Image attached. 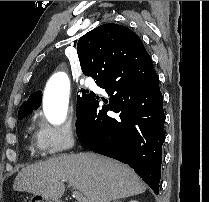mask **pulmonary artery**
I'll list each match as a JSON object with an SVG mask.
<instances>
[{
    "mask_svg": "<svg viewBox=\"0 0 209 202\" xmlns=\"http://www.w3.org/2000/svg\"><path fill=\"white\" fill-rule=\"evenodd\" d=\"M82 83H84V84H87V83H89V81H87V80H84Z\"/></svg>",
    "mask_w": 209,
    "mask_h": 202,
    "instance_id": "pulmonary-artery-1",
    "label": "pulmonary artery"
}]
</instances>
